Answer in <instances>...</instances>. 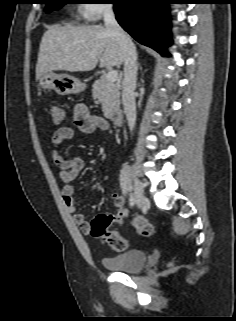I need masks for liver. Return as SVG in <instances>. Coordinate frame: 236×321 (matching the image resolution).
Returning a JSON list of instances; mask_svg holds the SVG:
<instances>
[{
    "mask_svg": "<svg viewBox=\"0 0 236 321\" xmlns=\"http://www.w3.org/2000/svg\"><path fill=\"white\" fill-rule=\"evenodd\" d=\"M125 55L116 37L102 25L56 26L41 39L36 80L49 72H83L101 67L120 68Z\"/></svg>",
    "mask_w": 236,
    "mask_h": 321,
    "instance_id": "obj_1",
    "label": "liver"
}]
</instances>
